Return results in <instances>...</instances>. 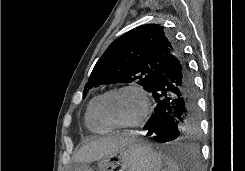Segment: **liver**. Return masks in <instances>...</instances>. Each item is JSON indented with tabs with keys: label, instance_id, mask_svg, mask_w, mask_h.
I'll list each match as a JSON object with an SVG mask.
<instances>
[{
	"label": "liver",
	"instance_id": "6515ba94",
	"mask_svg": "<svg viewBox=\"0 0 245 171\" xmlns=\"http://www.w3.org/2000/svg\"><path fill=\"white\" fill-rule=\"evenodd\" d=\"M135 140L133 133H122L92 140L78 150L74 156V161L83 163L100 160Z\"/></svg>",
	"mask_w": 245,
	"mask_h": 171
}]
</instances>
